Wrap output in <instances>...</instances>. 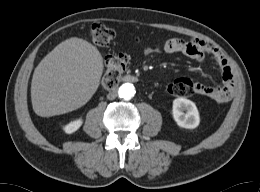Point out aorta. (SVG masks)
Wrapping results in <instances>:
<instances>
[{
  "label": "aorta",
  "mask_w": 260,
  "mask_h": 192,
  "mask_svg": "<svg viewBox=\"0 0 260 192\" xmlns=\"http://www.w3.org/2000/svg\"><path fill=\"white\" fill-rule=\"evenodd\" d=\"M118 94L120 98H123L125 100H130L135 95V87L133 84L124 83L120 86L118 90Z\"/></svg>",
  "instance_id": "1"
}]
</instances>
